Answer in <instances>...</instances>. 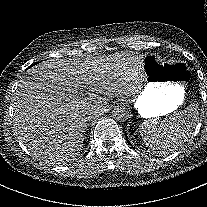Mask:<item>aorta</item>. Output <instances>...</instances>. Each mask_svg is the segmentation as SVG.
Here are the masks:
<instances>
[{"label":"aorta","mask_w":207,"mask_h":207,"mask_svg":"<svg viewBox=\"0 0 207 207\" xmlns=\"http://www.w3.org/2000/svg\"><path fill=\"white\" fill-rule=\"evenodd\" d=\"M130 112L125 105L117 106L112 111V116L116 121L124 122L129 118Z\"/></svg>","instance_id":"obj_1"}]
</instances>
